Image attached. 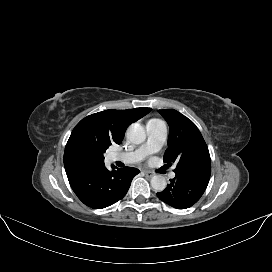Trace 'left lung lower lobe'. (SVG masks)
Returning a JSON list of instances; mask_svg holds the SVG:
<instances>
[{
	"mask_svg": "<svg viewBox=\"0 0 272 272\" xmlns=\"http://www.w3.org/2000/svg\"><path fill=\"white\" fill-rule=\"evenodd\" d=\"M211 170L183 171L170 179L171 183L157 193L160 200L177 209L194 205L203 195L210 179Z\"/></svg>",
	"mask_w": 272,
	"mask_h": 272,
	"instance_id": "1",
	"label": "left lung lower lobe"
}]
</instances>
